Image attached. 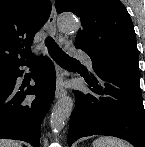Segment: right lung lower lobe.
<instances>
[{
  "label": "right lung lower lobe",
  "mask_w": 145,
  "mask_h": 147,
  "mask_svg": "<svg viewBox=\"0 0 145 147\" xmlns=\"http://www.w3.org/2000/svg\"><path fill=\"white\" fill-rule=\"evenodd\" d=\"M35 58L0 71V139L23 140L33 147L40 146V127L44 115L50 108L55 93V72L47 58L40 60L39 69L34 74V86L16 87V79L21 77L20 66H30ZM34 94L32 102L25 100Z\"/></svg>",
  "instance_id": "98d812e1"
}]
</instances>
